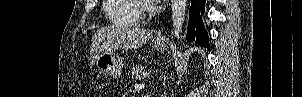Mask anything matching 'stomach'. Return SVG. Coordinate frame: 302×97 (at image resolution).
Masks as SVG:
<instances>
[{"instance_id": "stomach-1", "label": "stomach", "mask_w": 302, "mask_h": 97, "mask_svg": "<svg viewBox=\"0 0 302 97\" xmlns=\"http://www.w3.org/2000/svg\"><path fill=\"white\" fill-rule=\"evenodd\" d=\"M152 46L159 52H163L166 49L165 42L153 40ZM94 63L100 72L106 73L114 78H118L122 74L123 63L112 50L100 52L95 58Z\"/></svg>"}]
</instances>
